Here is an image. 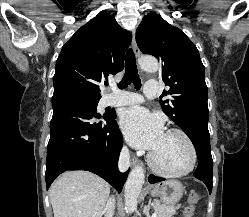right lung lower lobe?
Wrapping results in <instances>:
<instances>
[{"label":"right lung lower lobe","instance_id":"1","mask_svg":"<svg viewBox=\"0 0 249 217\" xmlns=\"http://www.w3.org/2000/svg\"><path fill=\"white\" fill-rule=\"evenodd\" d=\"M53 116L47 146V189L67 170L95 173L121 192L128 172L117 163L123 145L115 113L100 116L85 103L66 96H53Z\"/></svg>","mask_w":249,"mask_h":217}]
</instances>
